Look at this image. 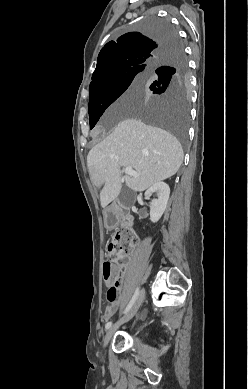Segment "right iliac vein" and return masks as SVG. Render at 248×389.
I'll list each match as a JSON object with an SVG mask.
<instances>
[{
    "mask_svg": "<svg viewBox=\"0 0 248 389\" xmlns=\"http://www.w3.org/2000/svg\"><path fill=\"white\" fill-rule=\"evenodd\" d=\"M144 294H145V291L144 289H142L138 296H137V299L135 301V303L133 304V306L131 307V309L125 314L124 317H122L119 321H117L112 327L109 328V330L107 331L106 335H105V338H104V347L106 348L112 338V336L114 335L115 331L122 325L124 324L125 322L129 321L135 314L136 312L138 311L140 305L142 304L143 302V299H144Z\"/></svg>",
    "mask_w": 248,
    "mask_h": 389,
    "instance_id": "obj_1",
    "label": "right iliac vein"
}]
</instances>
